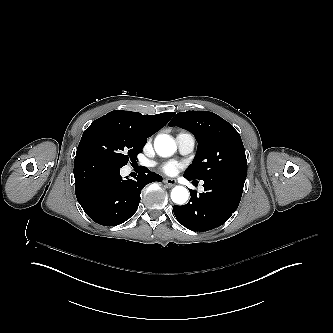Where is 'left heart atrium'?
I'll return each instance as SVG.
<instances>
[{"label":"left heart atrium","mask_w":333,"mask_h":333,"mask_svg":"<svg viewBox=\"0 0 333 333\" xmlns=\"http://www.w3.org/2000/svg\"><path fill=\"white\" fill-rule=\"evenodd\" d=\"M181 164L171 161L162 166V171L170 176L177 174L181 170Z\"/></svg>","instance_id":"1"}]
</instances>
